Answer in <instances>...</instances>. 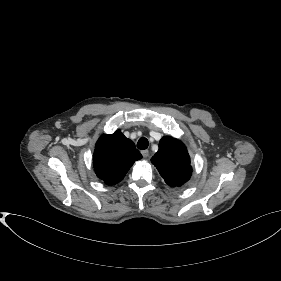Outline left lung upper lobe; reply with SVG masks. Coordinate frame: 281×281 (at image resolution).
Wrapping results in <instances>:
<instances>
[{
	"mask_svg": "<svg viewBox=\"0 0 281 281\" xmlns=\"http://www.w3.org/2000/svg\"><path fill=\"white\" fill-rule=\"evenodd\" d=\"M165 182L171 187H180L192 174L190 156L185 145L170 136L159 142L158 152L151 158Z\"/></svg>",
	"mask_w": 281,
	"mask_h": 281,
	"instance_id": "1",
	"label": "left lung upper lobe"
}]
</instances>
